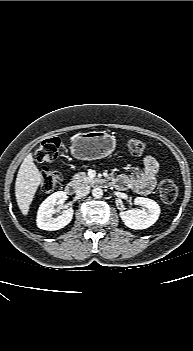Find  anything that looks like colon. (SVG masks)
Here are the masks:
<instances>
[{"mask_svg":"<svg viewBox=\"0 0 193 351\" xmlns=\"http://www.w3.org/2000/svg\"><path fill=\"white\" fill-rule=\"evenodd\" d=\"M61 141L57 137H50L43 140L37 151L36 159L39 162H50L55 160L60 152ZM127 148L131 155L140 156L146 150V143L139 138H130L127 141ZM61 174L58 171H44L41 178L40 191L47 194L54 191L61 182ZM159 195L166 203H171L176 200L178 188L172 178L163 180L159 187Z\"/></svg>","mask_w":193,"mask_h":351,"instance_id":"5ec220e1","label":"colon"}]
</instances>
